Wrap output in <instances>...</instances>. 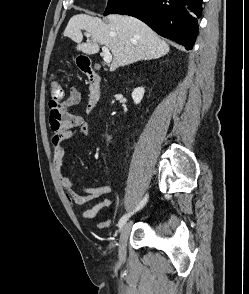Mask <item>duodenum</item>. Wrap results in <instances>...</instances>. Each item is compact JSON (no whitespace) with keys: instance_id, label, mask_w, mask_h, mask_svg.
Listing matches in <instances>:
<instances>
[{"instance_id":"obj_1","label":"duodenum","mask_w":249,"mask_h":294,"mask_svg":"<svg viewBox=\"0 0 249 294\" xmlns=\"http://www.w3.org/2000/svg\"><path fill=\"white\" fill-rule=\"evenodd\" d=\"M81 69L88 77L87 111L91 112L101 100V77L99 72L90 65L89 61H86Z\"/></svg>"}]
</instances>
